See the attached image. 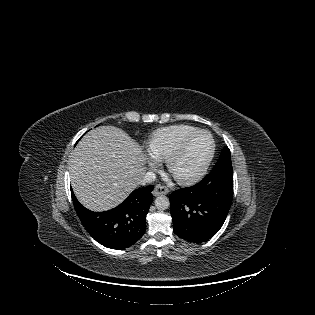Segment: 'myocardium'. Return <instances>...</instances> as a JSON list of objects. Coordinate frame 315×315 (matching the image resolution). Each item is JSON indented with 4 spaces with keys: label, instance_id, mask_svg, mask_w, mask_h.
<instances>
[{
    "label": "myocardium",
    "instance_id": "f54148a6",
    "mask_svg": "<svg viewBox=\"0 0 315 315\" xmlns=\"http://www.w3.org/2000/svg\"><path fill=\"white\" fill-rule=\"evenodd\" d=\"M205 134L210 139V150L209 153L203 162V164L200 166L199 169L196 171L187 174V175H178L174 170V164L175 162L182 156V154L185 152L188 144L191 142V140L196 137L197 135ZM215 154V141L213 136L210 132L206 130H196L193 133L186 136L179 145L175 148V150L166 158V168L168 172L181 184H192L194 182H197L200 180L209 169L211 162L213 160Z\"/></svg>",
    "mask_w": 315,
    "mask_h": 315
}]
</instances>
